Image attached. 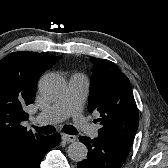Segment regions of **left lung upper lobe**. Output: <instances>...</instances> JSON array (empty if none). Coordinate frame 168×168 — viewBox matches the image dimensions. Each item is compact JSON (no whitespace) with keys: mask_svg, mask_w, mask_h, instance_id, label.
Listing matches in <instances>:
<instances>
[{"mask_svg":"<svg viewBox=\"0 0 168 168\" xmlns=\"http://www.w3.org/2000/svg\"><path fill=\"white\" fill-rule=\"evenodd\" d=\"M88 111L100 112L99 134L108 135L131 147L138 129L139 113L127 76L106 59L91 58Z\"/></svg>","mask_w":168,"mask_h":168,"instance_id":"obj_1","label":"left lung upper lobe"}]
</instances>
